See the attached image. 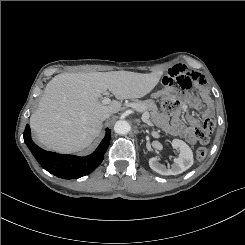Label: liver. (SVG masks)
<instances>
[{
    "label": "liver",
    "mask_w": 245,
    "mask_h": 245,
    "mask_svg": "<svg viewBox=\"0 0 245 245\" xmlns=\"http://www.w3.org/2000/svg\"><path fill=\"white\" fill-rule=\"evenodd\" d=\"M163 71L65 73L47 85L30 125L39 143L59 153L78 152L91 145L102 129L101 117L117 113L121 103L100 102L106 90L118 100L142 98L158 84Z\"/></svg>",
    "instance_id": "obj_1"
}]
</instances>
